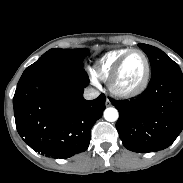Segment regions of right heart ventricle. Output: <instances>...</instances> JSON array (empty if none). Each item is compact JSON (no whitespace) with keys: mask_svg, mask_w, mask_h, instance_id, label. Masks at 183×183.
I'll return each mask as SVG.
<instances>
[{"mask_svg":"<svg viewBox=\"0 0 183 183\" xmlns=\"http://www.w3.org/2000/svg\"><path fill=\"white\" fill-rule=\"evenodd\" d=\"M128 51V49L112 50L102 55L95 63L93 73L101 79H108L117 61Z\"/></svg>","mask_w":183,"mask_h":183,"instance_id":"e07e8e85","label":"right heart ventricle"}]
</instances>
